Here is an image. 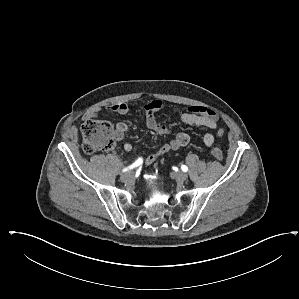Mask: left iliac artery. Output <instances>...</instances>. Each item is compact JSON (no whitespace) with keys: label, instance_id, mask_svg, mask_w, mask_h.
Here are the masks:
<instances>
[{"label":"left iliac artery","instance_id":"obj_1","mask_svg":"<svg viewBox=\"0 0 299 299\" xmlns=\"http://www.w3.org/2000/svg\"><path fill=\"white\" fill-rule=\"evenodd\" d=\"M181 169H182V171H184V172H187V171H188V167L185 166V165H182V166H181Z\"/></svg>","mask_w":299,"mask_h":299}]
</instances>
